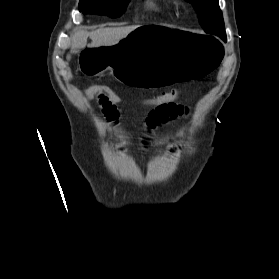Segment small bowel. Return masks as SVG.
<instances>
[{"label": "small bowel", "mask_w": 279, "mask_h": 279, "mask_svg": "<svg viewBox=\"0 0 279 279\" xmlns=\"http://www.w3.org/2000/svg\"><path fill=\"white\" fill-rule=\"evenodd\" d=\"M98 99L99 106L106 119L117 125L120 118V113L116 104L106 101L105 99ZM189 109L187 106L179 103H172L170 105L155 106L148 113L145 120V132L150 134L157 127L170 120H174L180 116L188 114ZM150 141L148 136L142 140L143 149L149 145ZM176 148L172 147L170 153H175Z\"/></svg>", "instance_id": "small-bowel-1"}]
</instances>
